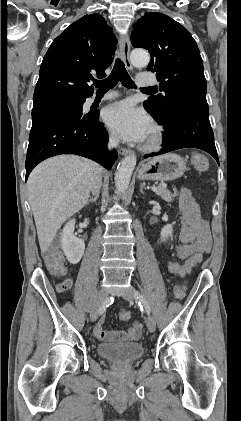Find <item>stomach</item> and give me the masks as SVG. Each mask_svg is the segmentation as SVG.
Returning a JSON list of instances; mask_svg holds the SVG:
<instances>
[{"label":"stomach","mask_w":241,"mask_h":421,"mask_svg":"<svg viewBox=\"0 0 241 421\" xmlns=\"http://www.w3.org/2000/svg\"><path fill=\"white\" fill-rule=\"evenodd\" d=\"M186 170L185 160L173 153L157 156L138 168L140 180L169 181L179 178Z\"/></svg>","instance_id":"obj_1"}]
</instances>
